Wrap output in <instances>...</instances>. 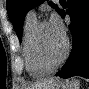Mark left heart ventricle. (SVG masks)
Wrapping results in <instances>:
<instances>
[{"mask_svg":"<svg viewBox=\"0 0 89 89\" xmlns=\"http://www.w3.org/2000/svg\"><path fill=\"white\" fill-rule=\"evenodd\" d=\"M40 48L44 59L48 63L56 62L63 52L64 38L58 35L49 23L43 26Z\"/></svg>","mask_w":89,"mask_h":89,"instance_id":"obj_1","label":"left heart ventricle"}]
</instances>
